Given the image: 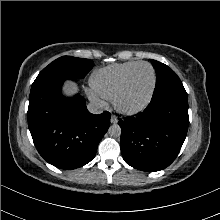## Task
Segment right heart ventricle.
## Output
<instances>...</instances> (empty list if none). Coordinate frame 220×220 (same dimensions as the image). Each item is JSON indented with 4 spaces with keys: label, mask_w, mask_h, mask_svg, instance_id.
<instances>
[{
    "label": "right heart ventricle",
    "mask_w": 220,
    "mask_h": 220,
    "mask_svg": "<svg viewBox=\"0 0 220 220\" xmlns=\"http://www.w3.org/2000/svg\"><path fill=\"white\" fill-rule=\"evenodd\" d=\"M138 62L113 64L96 70L90 77V86L102 98L113 99L126 74Z\"/></svg>",
    "instance_id": "e07e8e85"
}]
</instances>
